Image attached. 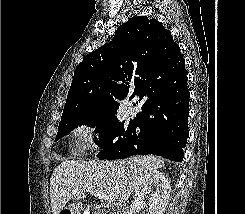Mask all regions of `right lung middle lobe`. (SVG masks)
Listing matches in <instances>:
<instances>
[{"label": "right lung middle lobe", "instance_id": "obj_1", "mask_svg": "<svg viewBox=\"0 0 245 214\" xmlns=\"http://www.w3.org/2000/svg\"><path fill=\"white\" fill-rule=\"evenodd\" d=\"M116 112L90 111L81 113L63 114L58 127L56 140L64 137L78 126H96L99 131V142L97 145L102 149L98 158H108V152L121 145L125 141L126 126L115 116ZM110 158V157H109Z\"/></svg>", "mask_w": 245, "mask_h": 214}]
</instances>
